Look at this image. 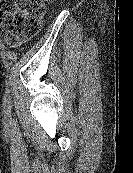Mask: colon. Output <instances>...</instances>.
Segmentation results:
<instances>
[{"mask_svg":"<svg viewBox=\"0 0 133 173\" xmlns=\"http://www.w3.org/2000/svg\"><path fill=\"white\" fill-rule=\"evenodd\" d=\"M45 14L44 0H0V24L12 42L35 36Z\"/></svg>","mask_w":133,"mask_h":173,"instance_id":"1","label":"colon"}]
</instances>
